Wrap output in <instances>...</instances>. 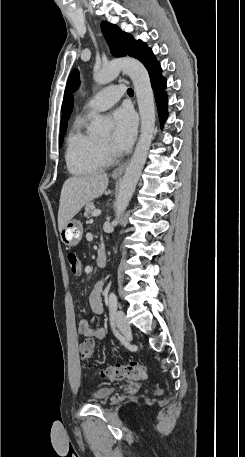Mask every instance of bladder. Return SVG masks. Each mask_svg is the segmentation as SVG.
I'll return each mask as SVG.
<instances>
[{"label":"bladder","instance_id":"31cf9c89","mask_svg":"<svg viewBox=\"0 0 245 457\" xmlns=\"http://www.w3.org/2000/svg\"><path fill=\"white\" fill-rule=\"evenodd\" d=\"M113 389H98L94 395L97 401H103L112 395Z\"/></svg>","mask_w":245,"mask_h":457}]
</instances>
